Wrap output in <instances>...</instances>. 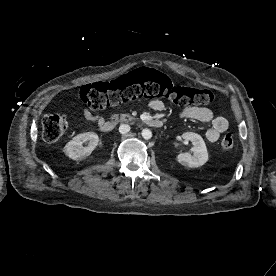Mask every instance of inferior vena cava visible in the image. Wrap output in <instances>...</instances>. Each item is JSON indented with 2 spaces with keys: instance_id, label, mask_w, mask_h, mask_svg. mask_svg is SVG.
<instances>
[{
  "instance_id": "obj_1",
  "label": "inferior vena cava",
  "mask_w": 276,
  "mask_h": 276,
  "mask_svg": "<svg viewBox=\"0 0 276 276\" xmlns=\"http://www.w3.org/2000/svg\"><path fill=\"white\" fill-rule=\"evenodd\" d=\"M130 131V126L128 124H122L120 127H119V132L121 134H126Z\"/></svg>"
}]
</instances>
